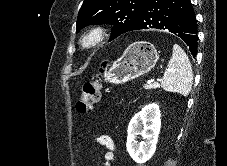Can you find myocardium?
<instances>
[{
	"label": "myocardium",
	"mask_w": 227,
	"mask_h": 166,
	"mask_svg": "<svg viewBox=\"0 0 227 166\" xmlns=\"http://www.w3.org/2000/svg\"><path fill=\"white\" fill-rule=\"evenodd\" d=\"M106 31L101 26H94L83 33L80 38V45L85 49L97 47L105 38Z\"/></svg>",
	"instance_id": "f54148a6"
}]
</instances>
